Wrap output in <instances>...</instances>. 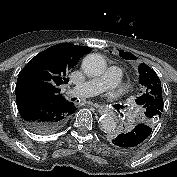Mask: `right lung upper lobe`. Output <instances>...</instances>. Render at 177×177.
<instances>
[{
	"label": "right lung upper lobe",
	"mask_w": 177,
	"mask_h": 177,
	"mask_svg": "<svg viewBox=\"0 0 177 177\" xmlns=\"http://www.w3.org/2000/svg\"><path fill=\"white\" fill-rule=\"evenodd\" d=\"M90 51L87 46L69 43L54 45L39 53L20 71L16 96H38L51 100H65L60 86L68 83V73L79 59Z\"/></svg>",
	"instance_id": "cb5924a9"
}]
</instances>
